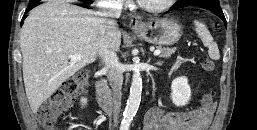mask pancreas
Masks as SVG:
<instances>
[{
    "instance_id": "obj_1",
    "label": "pancreas",
    "mask_w": 257,
    "mask_h": 130,
    "mask_svg": "<svg viewBox=\"0 0 257 130\" xmlns=\"http://www.w3.org/2000/svg\"><path fill=\"white\" fill-rule=\"evenodd\" d=\"M157 49L161 50V57L169 58L173 53L174 49H162L161 47H157Z\"/></svg>"
}]
</instances>
